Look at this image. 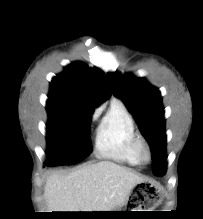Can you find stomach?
<instances>
[{
  "mask_svg": "<svg viewBox=\"0 0 203 219\" xmlns=\"http://www.w3.org/2000/svg\"><path fill=\"white\" fill-rule=\"evenodd\" d=\"M148 185L149 186H147V184L145 183V186L140 187L138 191L141 197H139L138 194H136L134 195L133 201L131 202V204L134 205L132 206L133 209H140V210H131V211H153V210H141V209H154L161 202L160 190L153 184H148ZM136 198L138 200H136ZM124 205L127 206V202ZM112 211H125V210H120L118 208ZM111 215L115 216L119 214L114 213Z\"/></svg>",
  "mask_w": 203,
  "mask_h": 219,
  "instance_id": "obj_1",
  "label": "stomach"
}]
</instances>
